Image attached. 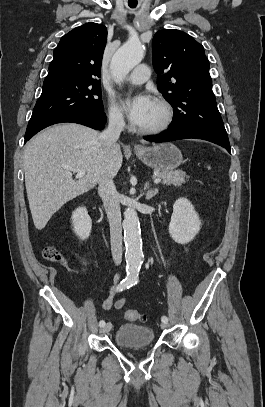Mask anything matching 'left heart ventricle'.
I'll return each mask as SVG.
<instances>
[{
  "instance_id": "b2bd125f",
  "label": "left heart ventricle",
  "mask_w": 265,
  "mask_h": 407,
  "mask_svg": "<svg viewBox=\"0 0 265 407\" xmlns=\"http://www.w3.org/2000/svg\"><path fill=\"white\" fill-rule=\"evenodd\" d=\"M162 116L163 111L161 107L156 102H154L149 115L147 116L145 121L141 125H139V128H150L157 125L161 121Z\"/></svg>"
}]
</instances>
